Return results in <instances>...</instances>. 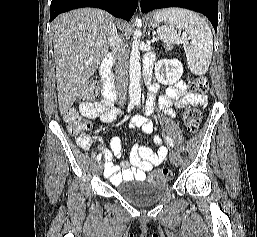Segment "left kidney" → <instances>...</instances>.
<instances>
[{
	"label": "left kidney",
	"instance_id": "5707ae66",
	"mask_svg": "<svg viewBox=\"0 0 257 237\" xmlns=\"http://www.w3.org/2000/svg\"><path fill=\"white\" fill-rule=\"evenodd\" d=\"M183 74V65L178 59H162L155 64V77L164 85L175 84Z\"/></svg>",
	"mask_w": 257,
	"mask_h": 237
}]
</instances>
